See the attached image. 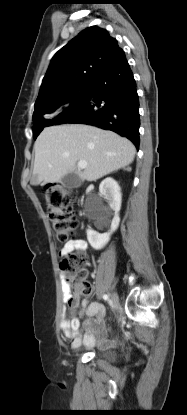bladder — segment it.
Returning a JSON list of instances; mask_svg holds the SVG:
<instances>
[{
	"mask_svg": "<svg viewBox=\"0 0 187 415\" xmlns=\"http://www.w3.org/2000/svg\"><path fill=\"white\" fill-rule=\"evenodd\" d=\"M96 355L108 362H113L118 357V350L114 347L100 348Z\"/></svg>",
	"mask_w": 187,
	"mask_h": 415,
	"instance_id": "31cf9c89",
	"label": "bladder"
}]
</instances>
